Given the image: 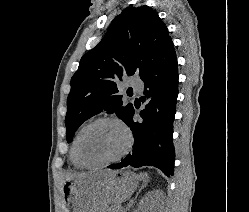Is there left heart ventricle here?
<instances>
[{
	"mask_svg": "<svg viewBox=\"0 0 249 212\" xmlns=\"http://www.w3.org/2000/svg\"><path fill=\"white\" fill-rule=\"evenodd\" d=\"M125 135L116 125L103 123L87 132L80 144L82 158L88 163L110 160L125 146Z\"/></svg>",
	"mask_w": 249,
	"mask_h": 212,
	"instance_id": "1",
	"label": "left heart ventricle"
}]
</instances>
